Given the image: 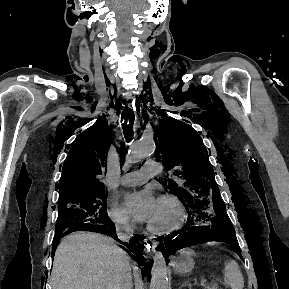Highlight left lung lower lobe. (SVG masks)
<instances>
[{
    "mask_svg": "<svg viewBox=\"0 0 289 289\" xmlns=\"http://www.w3.org/2000/svg\"><path fill=\"white\" fill-rule=\"evenodd\" d=\"M212 215L213 218H211ZM201 236L231 243L242 257L224 202L213 204L210 213L202 202L194 206L193 212L188 209V219L184 227L164 237L167 247L166 257L179 249L193 245V240Z\"/></svg>",
    "mask_w": 289,
    "mask_h": 289,
    "instance_id": "left-lung-lower-lobe-1",
    "label": "left lung lower lobe"
}]
</instances>
